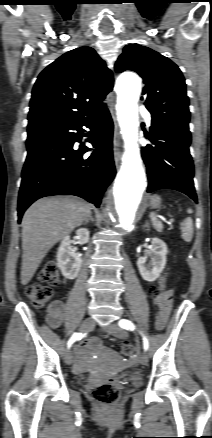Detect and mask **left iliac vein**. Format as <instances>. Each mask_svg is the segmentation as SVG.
<instances>
[{
    "mask_svg": "<svg viewBox=\"0 0 212 438\" xmlns=\"http://www.w3.org/2000/svg\"><path fill=\"white\" fill-rule=\"evenodd\" d=\"M106 331L109 332L110 334H112L113 336L117 337V338H121V339H125L127 338V332L125 330H123L122 328H120L119 326L115 325V324H110L107 328ZM139 361L142 365H146L148 362V356L145 352H143L140 357H139Z\"/></svg>",
    "mask_w": 212,
    "mask_h": 438,
    "instance_id": "left-iliac-vein-1",
    "label": "left iliac vein"
}]
</instances>
